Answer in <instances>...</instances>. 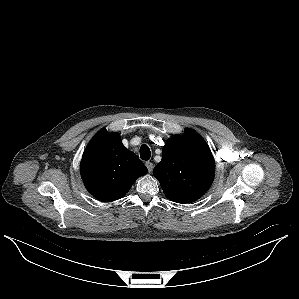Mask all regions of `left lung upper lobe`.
<instances>
[{
    "instance_id": "left-lung-upper-lobe-1",
    "label": "left lung upper lobe",
    "mask_w": 299,
    "mask_h": 299,
    "mask_svg": "<svg viewBox=\"0 0 299 299\" xmlns=\"http://www.w3.org/2000/svg\"><path fill=\"white\" fill-rule=\"evenodd\" d=\"M153 174L169 200L185 204L201 198L210 188L215 162L203 138L185 129L183 135L166 142Z\"/></svg>"
}]
</instances>
